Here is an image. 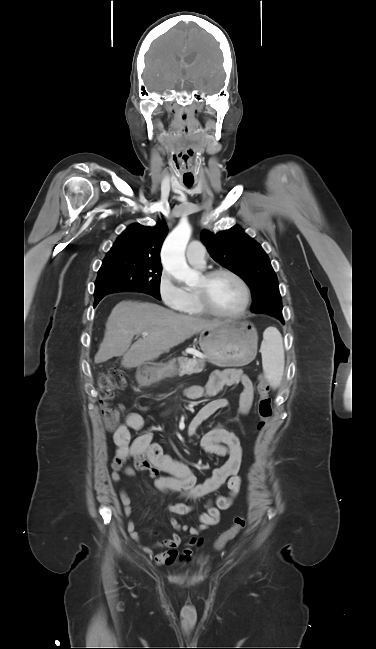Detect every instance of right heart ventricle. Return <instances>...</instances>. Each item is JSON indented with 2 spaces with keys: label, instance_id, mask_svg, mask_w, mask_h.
Segmentation results:
<instances>
[{
  "label": "right heart ventricle",
  "instance_id": "right-heart-ventricle-1",
  "mask_svg": "<svg viewBox=\"0 0 376 649\" xmlns=\"http://www.w3.org/2000/svg\"><path fill=\"white\" fill-rule=\"evenodd\" d=\"M179 310L190 316H204L207 314L198 300L196 290L193 288L185 289V300Z\"/></svg>",
  "mask_w": 376,
  "mask_h": 649
}]
</instances>
